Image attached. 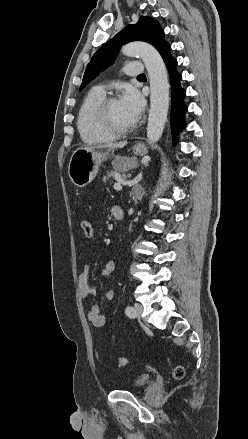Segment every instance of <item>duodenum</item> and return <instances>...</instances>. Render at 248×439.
<instances>
[{
	"label": "duodenum",
	"mask_w": 248,
	"mask_h": 439,
	"mask_svg": "<svg viewBox=\"0 0 248 439\" xmlns=\"http://www.w3.org/2000/svg\"><path fill=\"white\" fill-rule=\"evenodd\" d=\"M112 214L115 220H122L124 218V210L121 206H114Z\"/></svg>",
	"instance_id": "410a0bca"
}]
</instances>
